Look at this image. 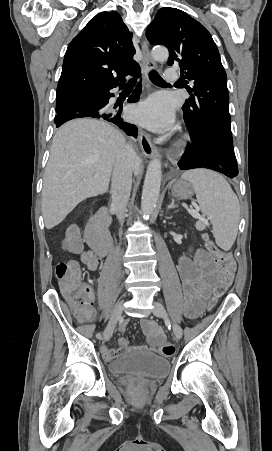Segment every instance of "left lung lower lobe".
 I'll use <instances>...</instances> for the list:
<instances>
[{
	"mask_svg": "<svg viewBox=\"0 0 272 451\" xmlns=\"http://www.w3.org/2000/svg\"><path fill=\"white\" fill-rule=\"evenodd\" d=\"M184 157L178 162L182 170L208 168L223 173L229 178L238 175V166L233 141L217 132L195 136Z\"/></svg>",
	"mask_w": 272,
	"mask_h": 451,
	"instance_id": "left-lung-lower-lobe-1",
	"label": "left lung lower lobe"
}]
</instances>
